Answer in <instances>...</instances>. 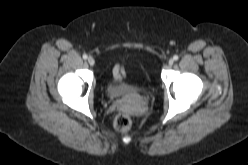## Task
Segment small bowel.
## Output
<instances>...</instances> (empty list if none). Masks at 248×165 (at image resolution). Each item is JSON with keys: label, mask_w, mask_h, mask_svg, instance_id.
<instances>
[{"label": "small bowel", "mask_w": 248, "mask_h": 165, "mask_svg": "<svg viewBox=\"0 0 248 165\" xmlns=\"http://www.w3.org/2000/svg\"><path fill=\"white\" fill-rule=\"evenodd\" d=\"M113 79L115 82H121L125 78V70L121 65H115L113 67Z\"/></svg>", "instance_id": "small-bowel-1"}]
</instances>
